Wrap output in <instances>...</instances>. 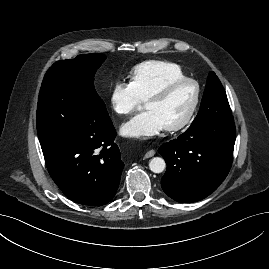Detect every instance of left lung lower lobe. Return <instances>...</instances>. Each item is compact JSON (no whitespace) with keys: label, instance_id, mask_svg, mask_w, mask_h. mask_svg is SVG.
Here are the masks:
<instances>
[{"label":"left lung lower lobe","instance_id":"1","mask_svg":"<svg viewBox=\"0 0 269 269\" xmlns=\"http://www.w3.org/2000/svg\"><path fill=\"white\" fill-rule=\"evenodd\" d=\"M233 116L191 124L158 152L167 164L161 185L178 202H195L210 195L227 176L235 144Z\"/></svg>","mask_w":269,"mask_h":269}]
</instances>
